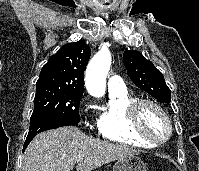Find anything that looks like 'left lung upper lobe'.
<instances>
[{"label":"left lung upper lobe","instance_id":"left-lung-upper-lobe-1","mask_svg":"<svg viewBox=\"0 0 199 171\" xmlns=\"http://www.w3.org/2000/svg\"><path fill=\"white\" fill-rule=\"evenodd\" d=\"M123 62L133 83L160 102L170 103V89L162 73L140 52L126 50Z\"/></svg>","mask_w":199,"mask_h":171}]
</instances>
